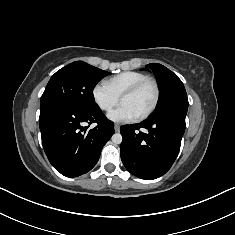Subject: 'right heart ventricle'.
<instances>
[{
  "label": "right heart ventricle",
  "mask_w": 235,
  "mask_h": 235,
  "mask_svg": "<svg viewBox=\"0 0 235 235\" xmlns=\"http://www.w3.org/2000/svg\"><path fill=\"white\" fill-rule=\"evenodd\" d=\"M146 78H148V76L144 73L126 71L109 78L106 83L110 89L120 97L125 90Z\"/></svg>",
  "instance_id": "1"
}]
</instances>
